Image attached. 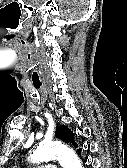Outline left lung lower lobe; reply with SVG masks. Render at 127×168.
<instances>
[{
    "instance_id": "left-lung-lower-lobe-1",
    "label": "left lung lower lobe",
    "mask_w": 127,
    "mask_h": 168,
    "mask_svg": "<svg viewBox=\"0 0 127 168\" xmlns=\"http://www.w3.org/2000/svg\"><path fill=\"white\" fill-rule=\"evenodd\" d=\"M81 151H82V149L80 148V149L78 150V153L80 154V153H81Z\"/></svg>"
}]
</instances>
